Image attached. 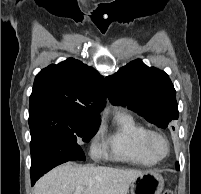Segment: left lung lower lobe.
<instances>
[{"instance_id":"left-lung-lower-lobe-1","label":"left lung lower lobe","mask_w":201,"mask_h":194,"mask_svg":"<svg viewBox=\"0 0 201 194\" xmlns=\"http://www.w3.org/2000/svg\"><path fill=\"white\" fill-rule=\"evenodd\" d=\"M176 169H177V170L180 169V168H179V163H178V162L176 163Z\"/></svg>"}]
</instances>
